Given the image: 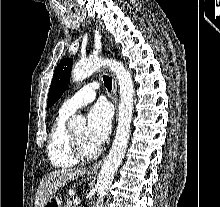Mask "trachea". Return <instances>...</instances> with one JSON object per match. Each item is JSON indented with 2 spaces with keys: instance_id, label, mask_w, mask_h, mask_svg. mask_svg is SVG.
Instances as JSON below:
<instances>
[{
  "instance_id": "trachea-1",
  "label": "trachea",
  "mask_w": 220,
  "mask_h": 207,
  "mask_svg": "<svg viewBox=\"0 0 220 207\" xmlns=\"http://www.w3.org/2000/svg\"><path fill=\"white\" fill-rule=\"evenodd\" d=\"M103 80H104V85L105 87L108 89V90H111L112 89V79L107 76V75H104L103 76Z\"/></svg>"
}]
</instances>
